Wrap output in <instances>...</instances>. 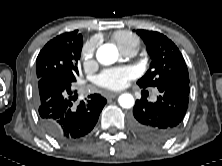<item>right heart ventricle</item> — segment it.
Instances as JSON below:
<instances>
[{
	"instance_id": "obj_1",
	"label": "right heart ventricle",
	"mask_w": 222,
	"mask_h": 166,
	"mask_svg": "<svg viewBox=\"0 0 222 166\" xmlns=\"http://www.w3.org/2000/svg\"><path fill=\"white\" fill-rule=\"evenodd\" d=\"M112 39L123 53L137 51L140 44L139 38L129 31H117L112 35Z\"/></svg>"
}]
</instances>
